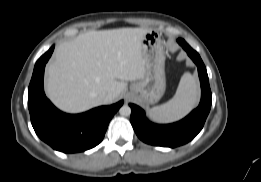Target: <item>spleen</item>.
<instances>
[{
    "label": "spleen",
    "mask_w": 261,
    "mask_h": 182,
    "mask_svg": "<svg viewBox=\"0 0 261 182\" xmlns=\"http://www.w3.org/2000/svg\"><path fill=\"white\" fill-rule=\"evenodd\" d=\"M198 97L199 88L196 78L190 73H184L174 97L167 103L150 109L149 115L160 123L176 121L195 107Z\"/></svg>",
    "instance_id": "spleen-1"
}]
</instances>
